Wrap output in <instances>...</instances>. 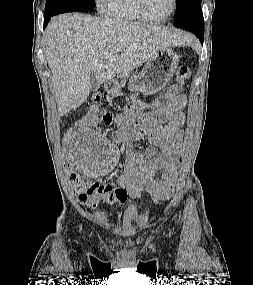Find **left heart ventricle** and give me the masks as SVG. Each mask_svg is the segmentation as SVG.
Segmentation results:
<instances>
[{"label":"left heart ventricle","instance_id":"b2bd125f","mask_svg":"<svg viewBox=\"0 0 253 285\" xmlns=\"http://www.w3.org/2000/svg\"><path fill=\"white\" fill-rule=\"evenodd\" d=\"M146 9L154 18L167 16L172 9V0H146Z\"/></svg>","mask_w":253,"mask_h":285}]
</instances>
